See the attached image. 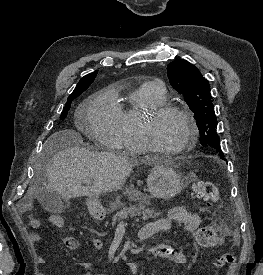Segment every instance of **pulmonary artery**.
<instances>
[{
    "mask_svg": "<svg viewBox=\"0 0 263 275\" xmlns=\"http://www.w3.org/2000/svg\"><path fill=\"white\" fill-rule=\"evenodd\" d=\"M161 92H164L163 85L159 81L152 82Z\"/></svg>",
    "mask_w": 263,
    "mask_h": 275,
    "instance_id": "e3ab8cb5",
    "label": "pulmonary artery"
}]
</instances>
